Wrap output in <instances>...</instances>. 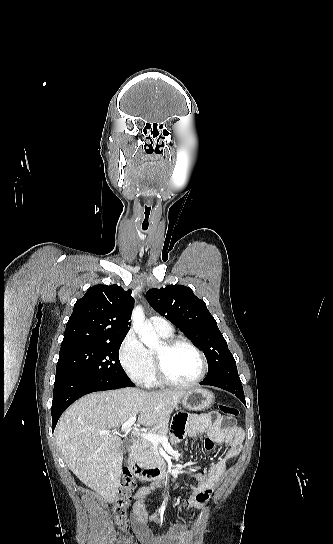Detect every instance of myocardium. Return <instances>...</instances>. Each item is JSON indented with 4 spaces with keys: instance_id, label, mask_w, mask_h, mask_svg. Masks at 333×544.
Masks as SVG:
<instances>
[{
    "instance_id": "myocardium-1",
    "label": "myocardium",
    "mask_w": 333,
    "mask_h": 544,
    "mask_svg": "<svg viewBox=\"0 0 333 544\" xmlns=\"http://www.w3.org/2000/svg\"><path fill=\"white\" fill-rule=\"evenodd\" d=\"M162 345L164 348V352L173 350L174 348L181 345L191 348L200 357L202 368H201L200 374L191 381H188V382L174 381L166 373L164 363H163V356L155 352L153 354L154 369H155L156 377L160 383L170 387H175V388H187V387H192L194 385H197L198 383H200L201 381L205 379L208 373V368H209L208 360L204 352L198 346H196L194 343L190 342L189 340L182 339V338H168L163 341Z\"/></svg>"
}]
</instances>
